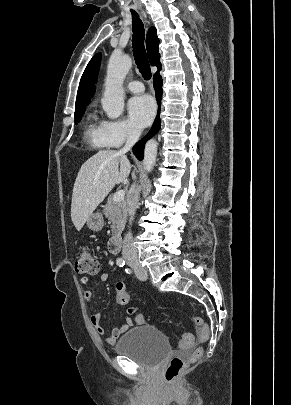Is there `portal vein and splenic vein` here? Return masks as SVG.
Returning a JSON list of instances; mask_svg holds the SVG:
<instances>
[{
    "mask_svg": "<svg viewBox=\"0 0 291 405\" xmlns=\"http://www.w3.org/2000/svg\"><path fill=\"white\" fill-rule=\"evenodd\" d=\"M124 196H125V192L124 190H120L118 191L114 196H113V200L115 202H120L124 200Z\"/></svg>",
    "mask_w": 291,
    "mask_h": 405,
    "instance_id": "obj_1",
    "label": "portal vein and splenic vein"
}]
</instances>
